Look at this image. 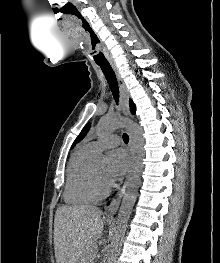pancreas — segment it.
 <instances>
[{"instance_id":"pancreas-1","label":"pancreas","mask_w":220,"mask_h":263,"mask_svg":"<svg viewBox=\"0 0 220 263\" xmlns=\"http://www.w3.org/2000/svg\"><path fill=\"white\" fill-rule=\"evenodd\" d=\"M93 252H95V248H94ZM93 252H92V254H93Z\"/></svg>"}]
</instances>
